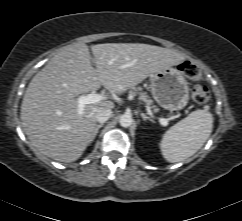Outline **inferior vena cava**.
Wrapping results in <instances>:
<instances>
[{"mask_svg":"<svg viewBox=\"0 0 242 221\" xmlns=\"http://www.w3.org/2000/svg\"><path fill=\"white\" fill-rule=\"evenodd\" d=\"M112 115V111L107 108H98L95 112L96 121L99 123L106 122Z\"/></svg>","mask_w":242,"mask_h":221,"instance_id":"602c4592","label":"inferior vena cava"}]
</instances>
